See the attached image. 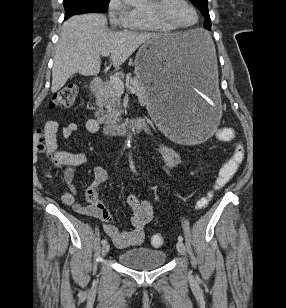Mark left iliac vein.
Segmentation results:
<instances>
[{
    "instance_id": "obj_1",
    "label": "left iliac vein",
    "mask_w": 286,
    "mask_h": 308,
    "mask_svg": "<svg viewBox=\"0 0 286 308\" xmlns=\"http://www.w3.org/2000/svg\"><path fill=\"white\" fill-rule=\"evenodd\" d=\"M177 250L181 255H185L186 253V247L185 244L182 241L177 242Z\"/></svg>"
}]
</instances>
